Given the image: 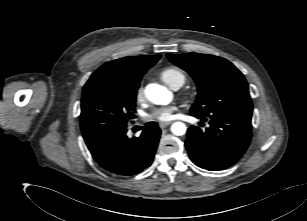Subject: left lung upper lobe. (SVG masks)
<instances>
[{
  "mask_svg": "<svg viewBox=\"0 0 307 221\" xmlns=\"http://www.w3.org/2000/svg\"><path fill=\"white\" fill-rule=\"evenodd\" d=\"M176 66L187 71L198 87L191 114L209 117L224 111L252 113L253 105L244 75L228 60L209 54H167Z\"/></svg>",
  "mask_w": 307,
  "mask_h": 221,
  "instance_id": "left-lung-upper-lobe-1",
  "label": "left lung upper lobe"
}]
</instances>
